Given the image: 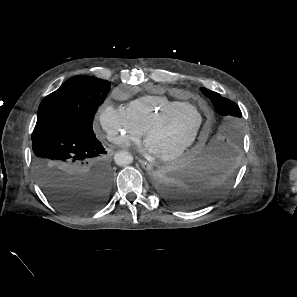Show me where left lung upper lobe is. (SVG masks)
<instances>
[{
	"label": "left lung upper lobe",
	"mask_w": 297,
	"mask_h": 297,
	"mask_svg": "<svg viewBox=\"0 0 297 297\" xmlns=\"http://www.w3.org/2000/svg\"><path fill=\"white\" fill-rule=\"evenodd\" d=\"M200 90L212 101L216 112L220 115L218 125L209 141L216 142L225 149L238 151L242 137V114L239 107L214 91L206 88Z\"/></svg>",
	"instance_id": "left-lung-upper-lobe-1"
}]
</instances>
